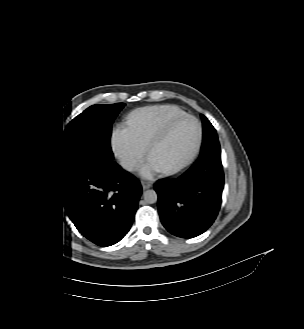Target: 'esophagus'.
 I'll return each instance as SVG.
<instances>
[{
    "mask_svg": "<svg viewBox=\"0 0 304 329\" xmlns=\"http://www.w3.org/2000/svg\"><path fill=\"white\" fill-rule=\"evenodd\" d=\"M141 184L144 190L149 189L153 186V183L147 180L142 181Z\"/></svg>",
    "mask_w": 304,
    "mask_h": 329,
    "instance_id": "esophagus-1",
    "label": "esophagus"
}]
</instances>
